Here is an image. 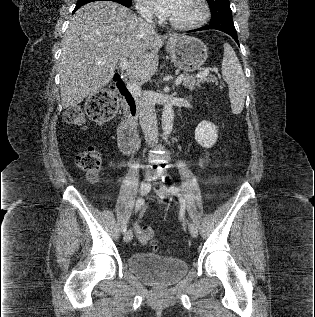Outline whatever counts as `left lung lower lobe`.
I'll return each mask as SVG.
<instances>
[{"label": "left lung lower lobe", "instance_id": "1", "mask_svg": "<svg viewBox=\"0 0 315 317\" xmlns=\"http://www.w3.org/2000/svg\"><path fill=\"white\" fill-rule=\"evenodd\" d=\"M206 29H216V30H220L222 32H225V33L229 34L236 41V43L239 45L238 38H237V31H236L234 25L214 26L212 24H209V25H207V26H205L203 28H199V29H196V30H191L189 32L206 30Z\"/></svg>", "mask_w": 315, "mask_h": 317}]
</instances>
